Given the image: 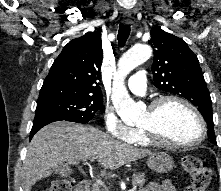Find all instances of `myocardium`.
<instances>
[{
	"instance_id": "f54148a6",
	"label": "myocardium",
	"mask_w": 221,
	"mask_h": 191,
	"mask_svg": "<svg viewBox=\"0 0 221 191\" xmlns=\"http://www.w3.org/2000/svg\"><path fill=\"white\" fill-rule=\"evenodd\" d=\"M170 102H175V103L182 105L195 116V118L197 119L199 123L200 134L194 141L186 142V143H174V142H169V141L164 140L160 136L159 131L155 126L140 127V130L144 133L145 137L150 142V144L154 146H158V147H163V148L186 149V148H191L202 143L207 135L206 122L202 114L199 112V110L186 99L176 96V95L161 96L150 104L148 110L150 114L156 118L158 114L160 113L162 107L165 104L170 103Z\"/></svg>"
}]
</instances>
